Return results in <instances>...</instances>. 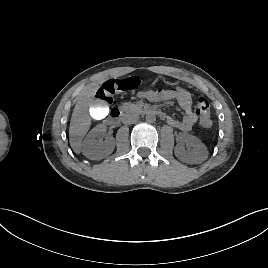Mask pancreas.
I'll use <instances>...</instances> for the list:
<instances>
[{
  "mask_svg": "<svg viewBox=\"0 0 268 268\" xmlns=\"http://www.w3.org/2000/svg\"><path fill=\"white\" fill-rule=\"evenodd\" d=\"M137 104H133L131 102H125L122 104V109L128 110V109H133Z\"/></svg>",
  "mask_w": 268,
  "mask_h": 268,
  "instance_id": "1",
  "label": "pancreas"
}]
</instances>
